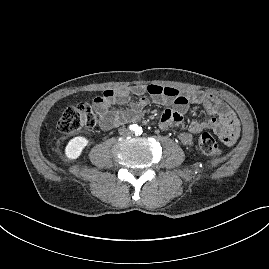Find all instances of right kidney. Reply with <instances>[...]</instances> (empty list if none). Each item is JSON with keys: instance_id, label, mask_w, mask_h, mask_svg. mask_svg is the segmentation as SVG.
Segmentation results:
<instances>
[{"instance_id": "right-kidney-1", "label": "right kidney", "mask_w": 269, "mask_h": 269, "mask_svg": "<svg viewBox=\"0 0 269 269\" xmlns=\"http://www.w3.org/2000/svg\"><path fill=\"white\" fill-rule=\"evenodd\" d=\"M87 145L88 139L85 137L78 136L71 139L65 148L66 157L70 160L79 158Z\"/></svg>"}]
</instances>
